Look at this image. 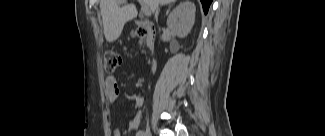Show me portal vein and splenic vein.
<instances>
[{"label": "portal vein and splenic vein", "instance_id": "obj_1", "mask_svg": "<svg viewBox=\"0 0 325 136\" xmlns=\"http://www.w3.org/2000/svg\"><path fill=\"white\" fill-rule=\"evenodd\" d=\"M125 0H121V3H123ZM141 2V5H142V12L143 14L146 16V17H149L151 15V11L149 9V7L145 4H143L144 2L142 0H139Z\"/></svg>", "mask_w": 325, "mask_h": 136}]
</instances>
